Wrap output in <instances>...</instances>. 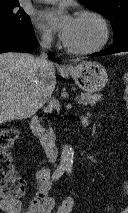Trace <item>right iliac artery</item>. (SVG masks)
Listing matches in <instances>:
<instances>
[{
  "instance_id": "1",
  "label": "right iliac artery",
  "mask_w": 128,
  "mask_h": 213,
  "mask_svg": "<svg viewBox=\"0 0 128 213\" xmlns=\"http://www.w3.org/2000/svg\"><path fill=\"white\" fill-rule=\"evenodd\" d=\"M66 166L60 165L58 168L54 171L52 179L57 180L61 177V175L65 172Z\"/></svg>"
}]
</instances>
